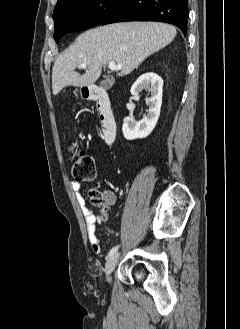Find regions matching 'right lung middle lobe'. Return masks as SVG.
<instances>
[{
	"label": "right lung middle lobe",
	"mask_w": 240,
	"mask_h": 329,
	"mask_svg": "<svg viewBox=\"0 0 240 329\" xmlns=\"http://www.w3.org/2000/svg\"><path fill=\"white\" fill-rule=\"evenodd\" d=\"M126 0H70L54 10V39L100 24Z\"/></svg>",
	"instance_id": "dd1d6c3e"
}]
</instances>
